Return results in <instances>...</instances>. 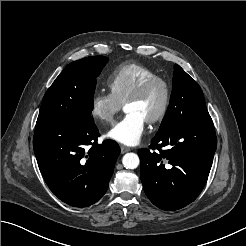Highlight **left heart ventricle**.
Wrapping results in <instances>:
<instances>
[{
	"label": "left heart ventricle",
	"mask_w": 246,
	"mask_h": 246,
	"mask_svg": "<svg viewBox=\"0 0 246 246\" xmlns=\"http://www.w3.org/2000/svg\"><path fill=\"white\" fill-rule=\"evenodd\" d=\"M163 99V87L160 84H155L141 99L127 103L124 109L127 113H138L146 121L159 111Z\"/></svg>",
	"instance_id": "left-heart-ventricle-1"
}]
</instances>
